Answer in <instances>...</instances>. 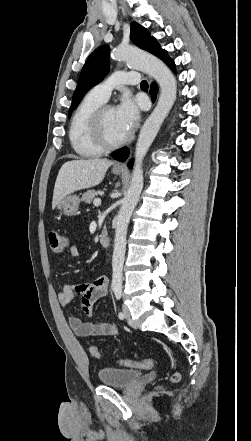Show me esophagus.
<instances>
[{
	"instance_id": "esophagus-1",
	"label": "esophagus",
	"mask_w": 251,
	"mask_h": 441,
	"mask_svg": "<svg viewBox=\"0 0 251 441\" xmlns=\"http://www.w3.org/2000/svg\"><path fill=\"white\" fill-rule=\"evenodd\" d=\"M118 169H126V162H120L115 165Z\"/></svg>"
}]
</instances>
